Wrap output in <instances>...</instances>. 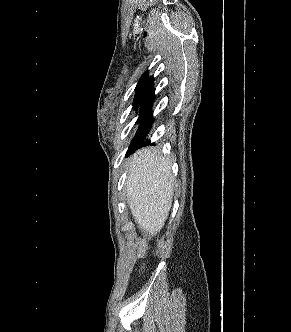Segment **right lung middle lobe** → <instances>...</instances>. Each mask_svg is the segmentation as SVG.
Wrapping results in <instances>:
<instances>
[{"mask_svg":"<svg viewBox=\"0 0 291 332\" xmlns=\"http://www.w3.org/2000/svg\"><path fill=\"white\" fill-rule=\"evenodd\" d=\"M146 99H147L146 97L135 98L133 101V108H135V106H137V107L141 106Z\"/></svg>","mask_w":291,"mask_h":332,"instance_id":"1","label":"right lung middle lobe"}]
</instances>
